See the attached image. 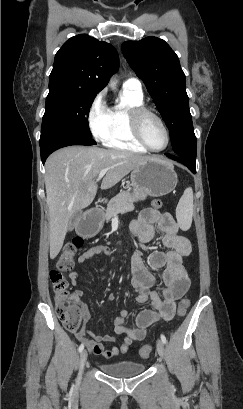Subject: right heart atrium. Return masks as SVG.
Instances as JSON below:
<instances>
[{
  "label": "right heart atrium",
  "mask_w": 243,
  "mask_h": 409,
  "mask_svg": "<svg viewBox=\"0 0 243 409\" xmlns=\"http://www.w3.org/2000/svg\"><path fill=\"white\" fill-rule=\"evenodd\" d=\"M89 129L95 139L105 141L113 129V118L105 101V92L100 91L92 100L87 112Z\"/></svg>",
  "instance_id": "obj_1"
}]
</instances>
